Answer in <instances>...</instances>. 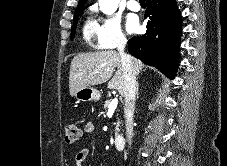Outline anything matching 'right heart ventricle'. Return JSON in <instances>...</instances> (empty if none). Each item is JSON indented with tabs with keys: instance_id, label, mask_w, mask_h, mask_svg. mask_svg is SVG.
<instances>
[{
	"instance_id": "e07e8e85",
	"label": "right heart ventricle",
	"mask_w": 227,
	"mask_h": 166,
	"mask_svg": "<svg viewBox=\"0 0 227 166\" xmlns=\"http://www.w3.org/2000/svg\"><path fill=\"white\" fill-rule=\"evenodd\" d=\"M95 32H96V27H95V22L91 19H87L84 23L83 26V37L87 41V43L94 47L95 45Z\"/></svg>"
}]
</instances>
